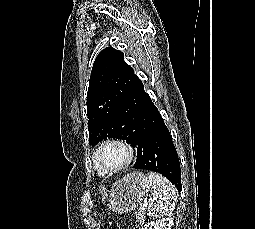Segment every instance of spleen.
Wrapping results in <instances>:
<instances>
[{
	"label": "spleen",
	"mask_w": 255,
	"mask_h": 229,
	"mask_svg": "<svg viewBox=\"0 0 255 229\" xmlns=\"http://www.w3.org/2000/svg\"><path fill=\"white\" fill-rule=\"evenodd\" d=\"M148 179L154 196L147 208L149 215L152 217L167 215L175 207V186L167 178L155 172H149Z\"/></svg>",
	"instance_id": "spleen-1"
}]
</instances>
